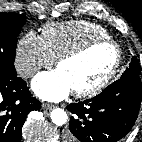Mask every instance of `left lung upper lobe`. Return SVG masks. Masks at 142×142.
Returning <instances> with one entry per match:
<instances>
[{
	"mask_svg": "<svg viewBox=\"0 0 142 142\" xmlns=\"http://www.w3.org/2000/svg\"><path fill=\"white\" fill-rule=\"evenodd\" d=\"M140 74H141V69H140V65L138 63V60L136 57H133L131 59V63L129 64L128 68L121 75V78L131 76V75L140 76Z\"/></svg>",
	"mask_w": 142,
	"mask_h": 142,
	"instance_id": "left-lung-upper-lobe-1",
	"label": "left lung upper lobe"
}]
</instances>
